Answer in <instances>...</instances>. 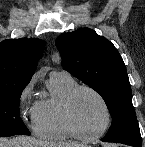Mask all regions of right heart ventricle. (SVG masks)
Segmentation results:
<instances>
[{
    "mask_svg": "<svg viewBox=\"0 0 145 147\" xmlns=\"http://www.w3.org/2000/svg\"><path fill=\"white\" fill-rule=\"evenodd\" d=\"M77 82L70 75H50L48 95L34 105V131L44 139L65 141L81 138L66 120L64 102Z\"/></svg>",
    "mask_w": 145,
    "mask_h": 147,
    "instance_id": "1",
    "label": "right heart ventricle"
}]
</instances>
